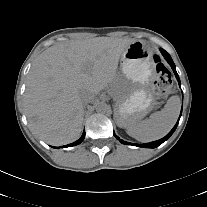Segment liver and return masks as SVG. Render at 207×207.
I'll list each match as a JSON object with an SVG mask.
<instances>
[{
  "mask_svg": "<svg viewBox=\"0 0 207 207\" xmlns=\"http://www.w3.org/2000/svg\"><path fill=\"white\" fill-rule=\"evenodd\" d=\"M132 39L95 37L57 43L34 62L24 94L32 132L51 145L79 138L84 106L80 94L97 95L115 78L118 62Z\"/></svg>",
  "mask_w": 207,
  "mask_h": 207,
  "instance_id": "6515ba94",
  "label": "liver"
}]
</instances>
